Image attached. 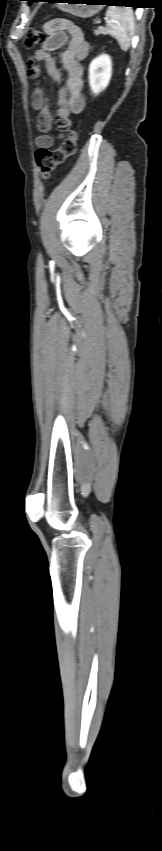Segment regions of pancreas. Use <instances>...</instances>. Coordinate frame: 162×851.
<instances>
[{"mask_svg": "<svg viewBox=\"0 0 162 851\" xmlns=\"http://www.w3.org/2000/svg\"><path fill=\"white\" fill-rule=\"evenodd\" d=\"M94 34H95V35H99V34H107V31H106V29H105V28H103V27H99L98 29L94 30Z\"/></svg>", "mask_w": 162, "mask_h": 851, "instance_id": "1", "label": "pancreas"}]
</instances>
